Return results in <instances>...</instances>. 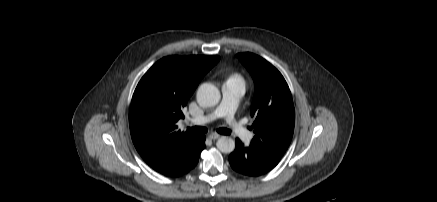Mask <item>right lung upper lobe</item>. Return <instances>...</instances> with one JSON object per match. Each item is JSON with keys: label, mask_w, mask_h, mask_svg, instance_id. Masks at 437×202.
Instances as JSON below:
<instances>
[{"label": "right lung upper lobe", "mask_w": 437, "mask_h": 202, "mask_svg": "<svg viewBox=\"0 0 437 202\" xmlns=\"http://www.w3.org/2000/svg\"><path fill=\"white\" fill-rule=\"evenodd\" d=\"M218 56H168L139 81L131 102L129 126L141 157L156 171L178 160L198 135L177 130V121L203 76Z\"/></svg>", "instance_id": "obj_1"}]
</instances>
